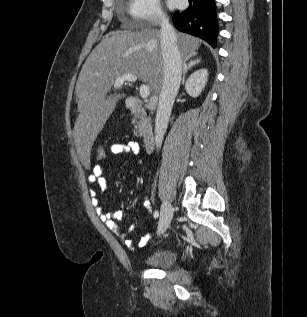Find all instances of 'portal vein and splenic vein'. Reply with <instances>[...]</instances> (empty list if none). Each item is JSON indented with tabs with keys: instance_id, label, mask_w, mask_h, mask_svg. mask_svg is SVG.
<instances>
[{
	"instance_id": "portal-vein-and-splenic-vein-1",
	"label": "portal vein and splenic vein",
	"mask_w": 307,
	"mask_h": 317,
	"mask_svg": "<svg viewBox=\"0 0 307 317\" xmlns=\"http://www.w3.org/2000/svg\"><path fill=\"white\" fill-rule=\"evenodd\" d=\"M136 81H137L136 75L131 73H125L116 79L113 86L114 88H120L125 82H136ZM139 92H140V96L144 99H146L150 95V90L147 85H141Z\"/></svg>"
}]
</instances>
